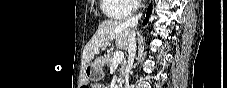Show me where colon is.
Listing matches in <instances>:
<instances>
[{
	"label": "colon",
	"instance_id": "5ec220e1",
	"mask_svg": "<svg viewBox=\"0 0 227 88\" xmlns=\"http://www.w3.org/2000/svg\"><path fill=\"white\" fill-rule=\"evenodd\" d=\"M82 87L83 88H88V85L87 84H84Z\"/></svg>",
	"mask_w": 227,
	"mask_h": 88
}]
</instances>
